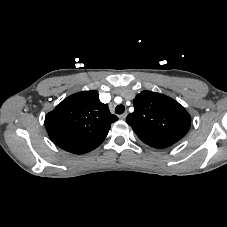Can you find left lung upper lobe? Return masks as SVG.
<instances>
[{"instance_id": "1", "label": "left lung upper lobe", "mask_w": 227, "mask_h": 227, "mask_svg": "<svg viewBox=\"0 0 227 227\" xmlns=\"http://www.w3.org/2000/svg\"><path fill=\"white\" fill-rule=\"evenodd\" d=\"M133 104L134 112L127 116L126 122L151 147H169L183 138L190 128L188 112L163 94L142 91L136 95Z\"/></svg>"}]
</instances>
